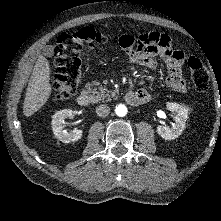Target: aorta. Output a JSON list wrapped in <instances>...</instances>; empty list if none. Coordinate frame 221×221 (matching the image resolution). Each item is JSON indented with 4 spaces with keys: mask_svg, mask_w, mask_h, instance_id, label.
<instances>
[{
    "mask_svg": "<svg viewBox=\"0 0 221 221\" xmlns=\"http://www.w3.org/2000/svg\"><path fill=\"white\" fill-rule=\"evenodd\" d=\"M115 112L118 116L123 117L127 114V107L123 104H119L115 107Z\"/></svg>",
    "mask_w": 221,
    "mask_h": 221,
    "instance_id": "1",
    "label": "aorta"
}]
</instances>
